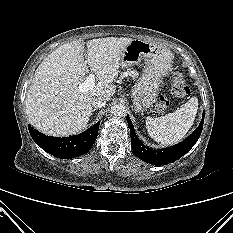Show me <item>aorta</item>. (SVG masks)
Here are the masks:
<instances>
[{
    "mask_svg": "<svg viewBox=\"0 0 233 233\" xmlns=\"http://www.w3.org/2000/svg\"><path fill=\"white\" fill-rule=\"evenodd\" d=\"M110 113L115 117H124L127 114V109L123 104H114L111 106Z\"/></svg>",
    "mask_w": 233,
    "mask_h": 233,
    "instance_id": "obj_1",
    "label": "aorta"
}]
</instances>
